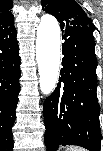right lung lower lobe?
Segmentation results:
<instances>
[{
	"label": "right lung lower lobe",
	"mask_w": 103,
	"mask_h": 151,
	"mask_svg": "<svg viewBox=\"0 0 103 151\" xmlns=\"http://www.w3.org/2000/svg\"><path fill=\"white\" fill-rule=\"evenodd\" d=\"M16 29L0 34V150L13 149L12 127L20 91V56Z\"/></svg>",
	"instance_id": "98d812e1"
}]
</instances>
